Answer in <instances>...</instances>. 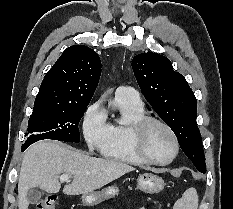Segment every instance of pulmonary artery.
Segmentation results:
<instances>
[{
    "label": "pulmonary artery",
    "instance_id": "1",
    "mask_svg": "<svg viewBox=\"0 0 233 209\" xmlns=\"http://www.w3.org/2000/svg\"><path fill=\"white\" fill-rule=\"evenodd\" d=\"M116 96H119L134 103H141L138 92L132 87L121 86L117 88Z\"/></svg>",
    "mask_w": 233,
    "mask_h": 209
}]
</instances>
